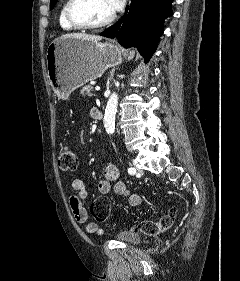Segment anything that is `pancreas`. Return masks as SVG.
Returning a JSON list of instances; mask_svg holds the SVG:
<instances>
[{
	"instance_id": "1",
	"label": "pancreas",
	"mask_w": 240,
	"mask_h": 281,
	"mask_svg": "<svg viewBox=\"0 0 240 281\" xmlns=\"http://www.w3.org/2000/svg\"><path fill=\"white\" fill-rule=\"evenodd\" d=\"M93 86L92 85H86L82 88L81 94L84 96H93Z\"/></svg>"
}]
</instances>
